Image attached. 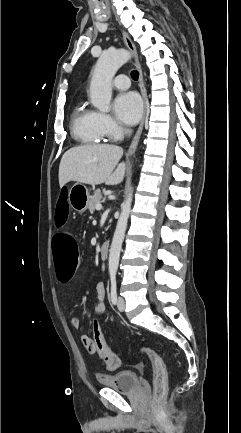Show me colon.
Returning a JSON list of instances; mask_svg holds the SVG:
<instances>
[{
  "label": "colon",
  "mask_w": 241,
  "mask_h": 433,
  "mask_svg": "<svg viewBox=\"0 0 241 433\" xmlns=\"http://www.w3.org/2000/svg\"><path fill=\"white\" fill-rule=\"evenodd\" d=\"M58 200L55 201V218L57 226H65L70 214V201L64 187L59 189ZM52 257H54L56 275L60 282H69L75 273L78 257L76 238H73V230H54L51 238ZM92 342L87 343L90 350L96 351L105 366L109 370H115L120 365V360L107 346L100 329L101 324L94 320ZM140 353L147 356L153 368V396L155 403L165 395L167 391L168 375L163 358L150 347L144 346Z\"/></svg>",
  "instance_id": "1"
}]
</instances>
